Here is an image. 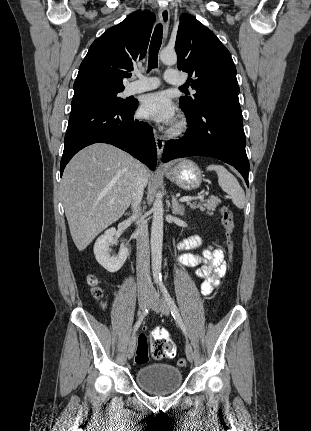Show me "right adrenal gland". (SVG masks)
Listing matches in <instances>:
<instances>
[{
	"mask_svg": "<svg viewBox=\"0 0 311 431\" xmlns=\"http://www.w3.org/2000/svg\"><path fill=\"white\" fill-rule=\"evenodd\" d=\"M125 216H130V214H125Z\"/></svg>",
	"mask_w": 311,
	"mask_h": 431,
	"instance_id": "obj_1",
	"label": "right adrenal gland"
}]
</instances>
